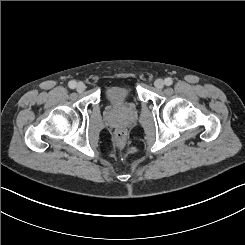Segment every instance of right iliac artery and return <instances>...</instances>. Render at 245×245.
Returning a JSON list of instances; mask_svg holds the SVG:
<instances>
[{"label": "right iliac artery", "instance_id": "1", "mask_svg": "<svg viewBox=\"0 0 245 245\" xmlns=\"http://www.w3.org/2000/svg\"><path fill=\"white\" fill-rule=\"evenodd\" d=\"M68 86L71 88V89H74L76 87V81L72 80L69 82Z\"/></svg>", "mask_w": 245, "mask_h": 245}]
</instances>
